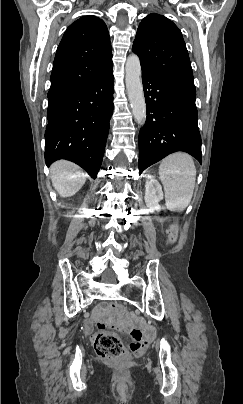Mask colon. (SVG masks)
I'll return each instance as SVG.
<instances>
[{"label": "colon", "mask_w": 243, "mask_h": 404, "mask_svg": "<svg viewBox=\"0 0 243 404\" xmlns=\"http://www.w3.org/2000/svg\"><path fill=\"white\" fill-rule=\"evenodd\" d=\"M176 238V229L170 231V240ZM108 310L112 313H124L125 308L119 303H111ZM128 342H123L116 333L99 332L94 338V345L97 354L107 360H113L126 355L129 351L133 353H142L149 344L148 337L139 329L131 328L127 334Z\"/></svg>", "instance_id": "obj_1"}]
</instances>
